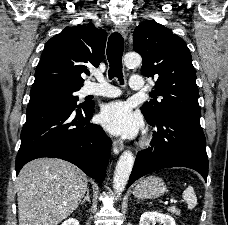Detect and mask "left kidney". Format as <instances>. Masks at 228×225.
<instances>
[{
    "instance_id": "left-kidney-1",
    "label": "left kidney",
    "mask_w": 228,
    "mask_h": 225,
    "mask_svg": "<svg viewBox=\"0 0 228 225\" xmlns=\"http://www.w3.org/2000/svg\"><path fill=\"white\" fill-rule=\"evenodd\" d=\"M151 223H160V225H176L171 215H163V213H143L140 217L139 225H151Z\"/></svg>"
}]
</instances>
